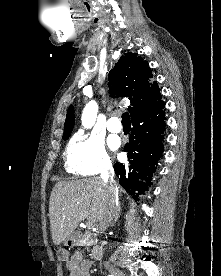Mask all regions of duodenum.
Listing matches in <instances>:
<instances>
[{
    "instance_id": "1",
    "label": "duodenum",
    "mask_w": 221,
    "mask_h": 276,
    "mask_svg": "<svg viewBox=\"0 0 221 276\" xmlns=\"http://www.w3.org/2000/svg\"><path fill=\"white\" fill-rule=\"evenodd\" d=\"M103 254V249L101 247H95L92 249L91 255L94 259H99Z\"/></svg>"
}]
</instances>
